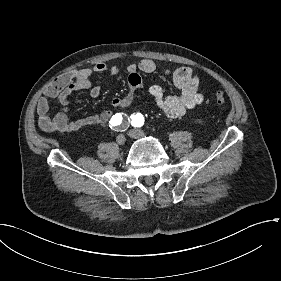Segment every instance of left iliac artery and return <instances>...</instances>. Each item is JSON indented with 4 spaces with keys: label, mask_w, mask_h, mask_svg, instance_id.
I'll return each instance as SVG.
<instances>
[{
    "label": "left iliac artery",
    "mask_w": 281,
    "mask_h": 281,
    "mask_svg": "<svg viewBox=\"0 0 281 281\" xmlns=\"http://www.w3.org/2000/svg\"><path fill=\"white\" fill-rule=\"evenodd\" d=\"M130 120L134 127H141L144 124V117L141 113L132 114Z\"/></svg>",
    "instance_id": "obj_1"
}]
</instances>
